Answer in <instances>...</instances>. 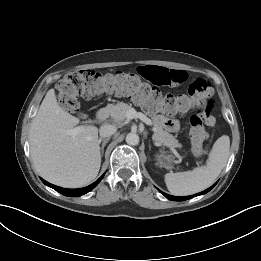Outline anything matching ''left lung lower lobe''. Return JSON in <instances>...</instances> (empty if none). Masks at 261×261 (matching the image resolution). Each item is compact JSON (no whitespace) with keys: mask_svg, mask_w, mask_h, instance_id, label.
<instances>
[{"mask_svg":"<svg viewBox=\"0 0 261 261\" xmlns=\"http://www.w3.org/2000/svg\"><path fill=\"white\" fill-rule=\"evenodd\" d=\"M215 185H216V183H215L213 186H211L210 188H208V189H206L205 191H203V192H200V193H197V194L191 195V196H186V197L171 196V195H168V194L162 192L161 190H159V191H160L165 197H167V198L170 199V200H173V201H184V200H188V199H191V198L196 197V196H198V195H202V194H205V193L209 192Z\"/></svg>","mask_w":261,"mask_h":261,"instance_id":"left-lung-lower-lobe-1","label":"left lung lower lobe"}]
</instances>
